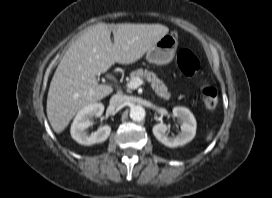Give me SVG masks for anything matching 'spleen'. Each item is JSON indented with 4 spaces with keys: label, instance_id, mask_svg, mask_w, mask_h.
Listing matches in <instances>:
<instances>
[{
    "label": "spleen",
    "instance_id": "3e777b00",
    "mask_svg": "<svg viewBox=\"0 0 272 198\" xmlns=\"http://www.w3.org/2000/svg\"><path fill=\"white\" fill-rule=\"evenodd\" d=\"M212 137H213V131L211 130V131L208 133L207 137H206V141H207V142L210 141V140L212 139Z\"/></svg>",
    "mask_w": 272,
    "mask_h": 198
}]
</instances>
